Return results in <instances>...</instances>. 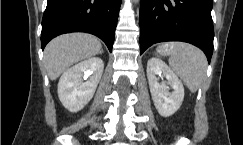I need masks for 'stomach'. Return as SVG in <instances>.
Listing matches in <instances>:
<instances>
[{
    "label": "stomach",
    "instance_id": "1",
    "mask_svg": "<svg viewBox=\"0 0 243 145\" xmlns=\"http://www.w3.org/2000/svg\"><path fill=\"white\" fill-rule=\"evenodd\" d=\"M157 51L161 55H169L171 54V45L169 44L161 45L160 47H158Z\"/></svg>",
    "mask_w": 243,
    "mask_h": 145
}]
</instances>
